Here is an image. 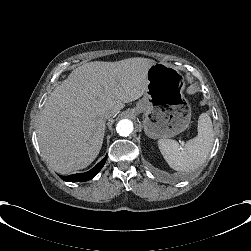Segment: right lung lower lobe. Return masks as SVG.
I'll list each match as a JSON object with an SVG mask.
<instances>
[{"mask_svg":"<svg viewBox=\"0 0 251 251\" xmlns=\"http://www.w3.org/2000/svg\"><path fill=\"white\" fill-rule=\"evenodd\" d=\"M107 156L101 160L94 168L85 173L73 174L69 176H60L61 179L68 182H84L92 179L104 166Z\"/></svg>","mask_w":251,"mask_h":251,"instance_id":"right-lung-lower-lobe-1","label":"right lung lower lobe"}]
</instances>
